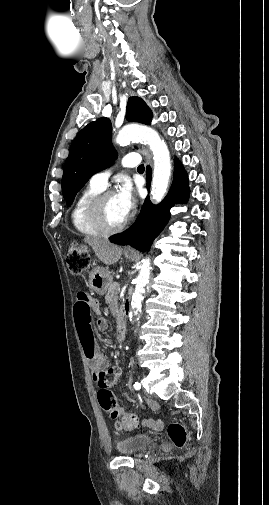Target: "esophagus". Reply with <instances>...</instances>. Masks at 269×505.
I'll return each instance as SVG.
<instances>
[{
    "mask_svg": "<svg viewBox=\"0 0 269 505\" xmlns=\"http://www.w3.org/2000/svg\"><path fill=\"white\" fill-rule=\"evenodd\" d=\"M143 150H144V153H145V157H146V158H147V160H148V163H149L150 165H152V157H151V153L149 152V150H148V148H147V147H143ZM124 251H125V252H130V253H132V252H133V249H132L130 246H126V247L124 248Z\"/></svg>",
    "mask_w": 269,
    "mask_h": 505,
    "instance_id": "34e87169",
    "label": "esophagus"
}]
</instances>
